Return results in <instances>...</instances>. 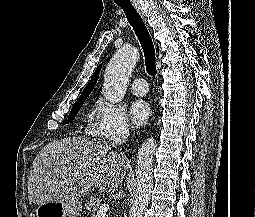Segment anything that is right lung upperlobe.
Listing matches in <instances>:
<instances>
[{"label":"right lung upper lobe","instance_id":"right-lung-upper-lobe-1","mask_svg":"<svg viewBox=\"0 0 255 217\" xmlns=\"http://www.w3.org/2000/svg\"><path fill=\"white\" fill-rule=\"evenodd\" d=\"M101 67H102V65H99V67L95 70V72L91 78V81L87 84V86L85 87V89L83 90V92L80 96L87 94V93H91L95 84L97 83Z\"/></svg>","mask_w":255,"mask_h":217}]
</instances>
